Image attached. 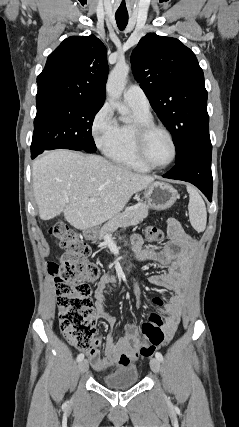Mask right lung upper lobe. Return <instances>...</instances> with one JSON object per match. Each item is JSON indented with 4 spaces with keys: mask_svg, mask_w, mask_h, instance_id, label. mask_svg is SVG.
Here are the masks:
<instances>
[{
    "mask_svg": "<svg viewBox=\"0 0 239 427\" xmlns=\"http://www.w3.org/2000/svg\"><path fill=\"white\" fill-rule=\"evenodd\" d=\"M108 75L107 51L94 35L65 39L37 77L36 100L65 99L103 105Z\"/></svg>",
    "mask_w": 239,
    "mask_h": 427,
    "instance_id": "cb5924a9",
    "label": "right lung upper lobe"
}]
</instances>
